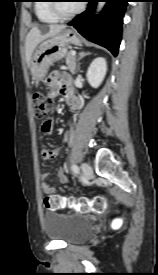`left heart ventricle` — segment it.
<instances>
[{
    "instance_id": "1",
    "label": "left heart ventricle",
    "mask_w": 158,
    "mask_h": 275,
    "mask_svg": "<svg viewBox=\"0 0 158 275\" xmlns=\"http://www.w3.org/2000/svg\"><path fill=\"white\" fill-rule=\"evenodd\" d=\"M63 2H70V3H61V8L65 13H69L76 9L80 4L75 3L78 1H63Z\"/></svg>"
}]
</instances>
